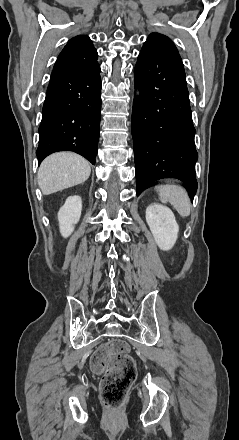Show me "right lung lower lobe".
Returning <instances> with one entry per match:
<instances>
[{"label": "right lung lower lobe", "instance_id": "98d812e1", "mask_svg": "<svg viewBox=\"0 0 239 440\" xmlns=\"http://www.w3.org/2000/svg\"><path fill=\"white\" fill-rule=\"evenodd\" d=\"M100 112L99 64L87 70L54 69L38 129L39 164L58 151L76 152L95 164Z\"/></svg>", "mask_w": 239, "mask_h": 440}]
</instances>
